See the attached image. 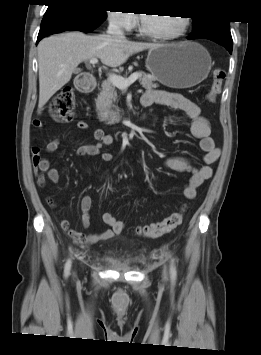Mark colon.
<instances>
[{
  "label": "colon",
  "instance_id": "obj_1",
  "mask_svg": "<svg viewBox=\"0 0 261 355\" xmlns=\"http://www.w3.org/2000/svg\"><path fill=\"white\" fill-rule=\"evenodd\" d=\"M225 77L224 69H216L213 72L212 83L206 95L208 102L215 101L221 92ZM50 112L53 120L59 123H68L74 119L75 95L71 87H64L53 96L50 102ZM184 212L185 208H182L159 222L138 226L136 231L139 235L148 238L168 234L182 223Z\"/></svg>",
  "mask_w": 261,
  "mask_h": 355
}]
</instances>
